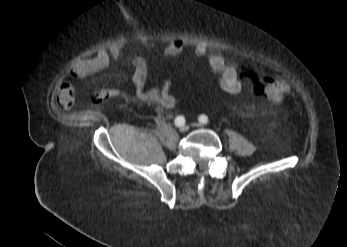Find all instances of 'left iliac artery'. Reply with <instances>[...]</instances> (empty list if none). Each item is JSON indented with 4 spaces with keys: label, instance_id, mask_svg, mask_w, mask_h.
<instances>
[{
    "label": "left iliac artery",
    "instance_id": "left-iliac-artery-1",
    "mask_svg": "<svg viewBox=\"0 0 347 247\" xmlns=\"http://www.w3.org/2000/svg\"><path fill=\"white\" fill-rule=\"evenodd\" d=\"M199 121L202 124H207L209 122V119H208V117L206 115L203 114V115H200Z\"/></svg>",
    "mask_w": 347,
    "mask_h": 247
}]
</instances>
